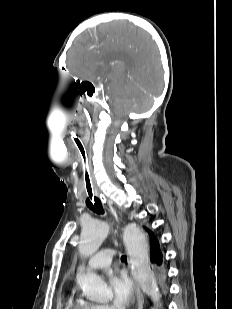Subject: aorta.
<instances>
[{"mask_svg":"<svg viewBox=\"0 0 232 309\" xmlns=\"http://www.w3.org/2000/svg\"><path fill=\"white\" fill-rule=\"evenodd\" d=\"M108 229V223L98 219H92L85 223L78 246L80 254L82 256L94 254L107 237ZM123 239L135 280L142 291L158 304L161 294L154 273L150 268L148 243L144 232L135 224H129L124 229ZM76 282L83 294L92 301L105 302L111 296L106 282L94 273L79 270Z\"/></svg>","mask_w":232,"mask_h":309,"instance_id":"obj_1","label":"aorta"}]
</instances>
